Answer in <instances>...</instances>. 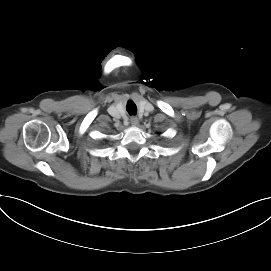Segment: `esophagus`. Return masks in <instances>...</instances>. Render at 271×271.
I'll return each mask as SVG.
<instances>
[{
  "label": "esophagus",
  "instance_id": "34e87169",
  "mask_svg": "<svg viewBox=\"0 0 271 271\" xmlns=\"http://www.w3.org/2000/svg\"><path fill=\"white\" fill-rule=\"evenodd\" d=\"M130 122L133 126H137L139 121H138V118L135 117V116H132L131 119H130Z\"/></svg>",
  "mask_w": 271,
  "mask_h": 271
}]
</instances>
